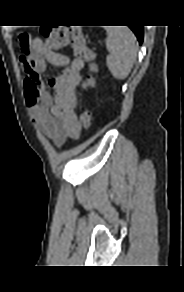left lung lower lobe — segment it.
<instances>
[{
  "mask_svg": "<svg viewBox=\"0 0 184 292\" xmlns=\"http://www.w3.org/2000/svg\"><path fill=\"white\" fill-rule=\"evenodd\" d=\"M132 31L137 36V39L139 41V44H142L143 41V26H129Z\"/></svg>",
  "mask_w": 184,
  "mask_h": 292,
  "instance_id": "0a47b994",
  "label": "left lung lower lobe"
}]
</instances>
